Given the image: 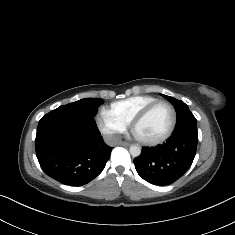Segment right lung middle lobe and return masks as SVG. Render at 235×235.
I'll return each instance as SVG.
<instances>
[{
	"label": "right lung middle lobe",
	"mask_w": 235,
	"mask_h": 235,
	"mask_svg": "<svg viewBox=\"0 0 235 235\" xmlns=\"http://www.w3.org/2000/svg\"><path fill=\"white\" fill-rule=\"evenodd\" d=\"M104 101L100 98H85L79 101L60 106L58 110H70L83 113L90 117H94L98 111V106Z\"/></svg>",
	"instance_id": "dd1d6c3e"
}]
</instances>
